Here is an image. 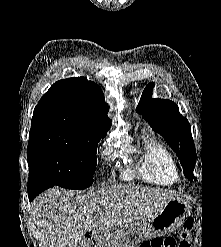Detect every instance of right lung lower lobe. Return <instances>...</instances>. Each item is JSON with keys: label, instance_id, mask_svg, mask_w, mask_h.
<instances>
[{"label": "right lung lower lobe", "instance_id": "1", "mask_svg": "<svg viewBox=\"0 0 221 247\" xmlns=\"http://www.w3.org/2000/svg\"><path fill=\"white\" fill-rule=\"evenodd\" d=\"M53 186L54 184L45 178L34 173H29L27 187L29 200L32 201L38 194Z\"/></svg>", "mask_w": 221, "mask_h": 247}]
</instances>
